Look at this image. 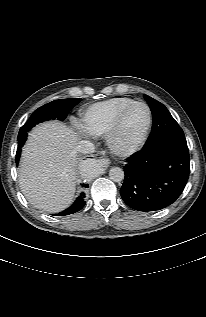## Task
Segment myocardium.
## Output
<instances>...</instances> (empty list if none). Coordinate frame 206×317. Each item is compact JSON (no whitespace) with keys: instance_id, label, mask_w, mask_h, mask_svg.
I'll return each instance as SVG.
<instances>
[{"instance_id":"f54148a6","label":"myocardium","mask_w":206,"mask_h":317,"mask_svg":"<svg viewBox=\"0 0 206 317\" xmlns=\"http://www.w3.org/2000/svg\"><path fill=\"white\" fill-rule=\"evenodd\" d=\"M135 105H143L146 108V110H147V124L145 126V129H144L141 137L139 138V140L135 144H133L131 146H121L117 143L116 136H117L118 131L121 127L124 116L129 111V109ZM151 125H152V112H151V109L148 106V104L143 102V101L131 102L130 104H128L127 106H125L123 109H121L118 112L111 127L109 128L108 132L106 133V143H107L108 148L114 154L119 155V156H129V155L137 152L145 144V142L148 138L150 129H151Z\"/></svg>"}]
</instances>
